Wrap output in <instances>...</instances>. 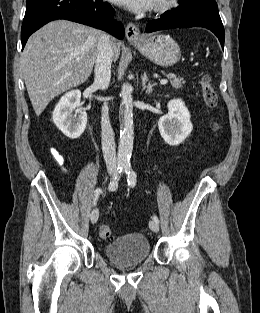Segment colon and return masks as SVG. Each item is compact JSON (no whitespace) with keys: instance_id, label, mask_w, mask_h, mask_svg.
<instances>
[{"instance_id":"colon-1","label":"colon","mask_w":260,"mask_h":313,"mask_svg":"<svg viewBox=\"0 0 260 313\" xmlns=\"http://www.w3.org/2000/svg\"><path fill=\"white\" fill-rule=\"evenodd\" d=\"M199 84L201 86L206 105L211 109H215L218 105V95L211 83L210 77L206 74L202 75L200 77ZM99 236L102 239L110 240L113 238V232L108 225L102 224L99 227Z\"/></svg>"}]
</instances>
